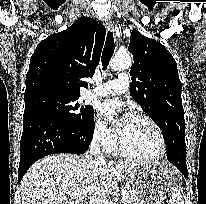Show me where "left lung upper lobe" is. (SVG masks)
<instances>
[{"instance_id":"1","label":"left lung upper lobe","mask_w":206,"mask_h":204,"mask_svg":"<svg viewBox=\"0 0 206 204\" xmlns=\"http://www.w3.org/2000/svg\"><path fill=\"white\" fill-rule=\"evenodd\" d=\"M128 50L134 59L131 96L162 129L165 142L185 140L182 84L176 61L162 44L135 29Z\"/></svg>"}]
</instances>
